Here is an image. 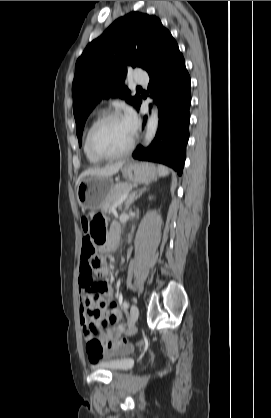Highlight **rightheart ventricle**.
Instances as JSON below:
<instances>
[{
	"instance_id": "right-heart-ventricle-1",
	"label": "right heart ventricle",
	"mask_w": 271,
	"mask_h": 418,
	"mask_svg": "<svg viewBox=\"0 0 271 418\" xmlns=\"http://www.w3.org/2000/svg\"><path fill=\"white\" fill-rule=\"evenodd\" d=\"M90 127H91V126H90ZM90 127L88 128V130H87V132H86V134H85V137H84V145H83V150H84L85 156H86V158L88 159V161H89L90 163L97 164V163L101 162V159H99V158L95 157V156H94V155H93V154L89 151L88 146H87V133H88V131H89Z\"/></svg>"
}]
</instances>
